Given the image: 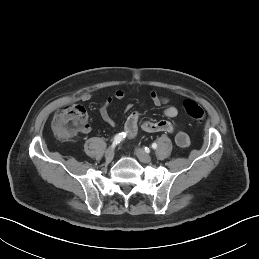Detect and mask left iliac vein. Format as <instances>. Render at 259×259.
Wrapping results in <instances>:
<instances>
[{"mask_svg":"<svg viewBox=\"0 0 259 259\" xmlns=\"http://www.w3.org/2000/svg\"><path fill=\"white\" fill-rule=\"evenodd\" d=\"M135 154L137 158L143 163H150L152 160V157L148 153H146L142 148H136Z\"/></svg>","mask_w":259,"mask_h":259,"instance_id":"1","label":"left iliac vein"}]
</instances>
